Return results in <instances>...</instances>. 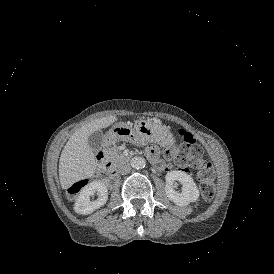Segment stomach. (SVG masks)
<instances>
[{
	"mask_svg": "<svg viewBox=\"0 0 274 274\" xmlns=\"http://www.w3.org/2000/svg\"><path fill=\"white\" fill-rule=\"evenodd\" d=\"M132 142L138 145L158 143L162 147H170L175 143L169 128L151 119H140L131 127L126 123H117L106 133V142Z\"/></svg>",
	"mask_w": 274,
	"mask_h": 274,
	"instance_id": "obj_1",
	"label": "stomach"
}]
</instances>
